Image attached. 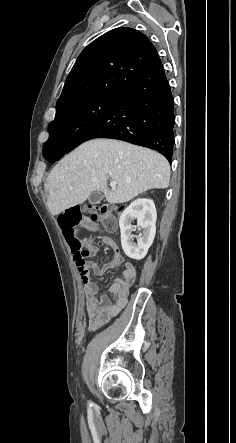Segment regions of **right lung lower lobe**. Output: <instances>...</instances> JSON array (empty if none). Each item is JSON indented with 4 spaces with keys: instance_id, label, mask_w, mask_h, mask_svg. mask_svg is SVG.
I'll return each mask as SVG.
<instances>
[{
    "instance_id": "1",
    "label": "right lung lower lobe",
    "mask_w": 236,
    "mask_h": 443,
    "mask_svg": "<svg viewBox=\"0 0 236 443\" xmlns=\"http://www.w3.org/2000/svg\"><path fill=\"white\" fill-rule=\"evenodd\" d=\"M174 100L160 59L81 127L70 144L43 149L51 163L93 138H113L157 150L171 163L174 146Z\"/></svg>"
}]
</instances>
